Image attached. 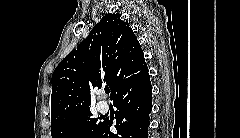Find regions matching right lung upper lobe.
I'll use <instances>...</instances> for the list:
<instances>
[{
	"label": "right lung upper lobe",
	"mask_w": 240,
	"mask_h": 138,
	"mask_svg": "<svg viewBox=\"0 0 240 138\" xmlns=\"http://www.w3.org/2000/svg\"><path fill=\"white\" fill-rule=\"evenodd\" d=\"M120 14H106L52 75L51 122L71 119L91 103L90 90L102 83L115 94L141 80L148 68L141 46Z\"/></svg>",
	"instance_id": "right-lung-upper-lobe-1"
}]
</instances>
